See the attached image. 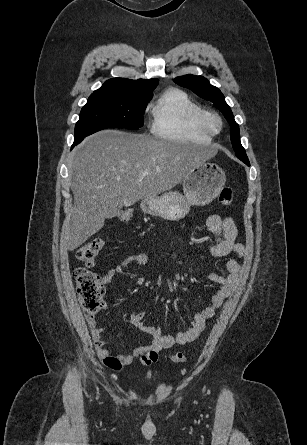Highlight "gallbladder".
Listing matches in <instances>:
<instances>
[{"label": "gallbladder", "mask_w": 307, "mask_h": 445, "mask_svg": "<svg viewBox=\"0 0 307 445\" xmlns=\"http://www.w3.org/2000/svg\"><path fill=\"white\" fill-rule=\"evenodd\" d=\"M106 207L108 209L106 216L109 219L116 218V216H117L116 212H120L123 209L122 202L119 200V198L117 196H114L112 198V200L107 202Z\"/></svg>", "instance_id": "obj_1"}]
</instances>
